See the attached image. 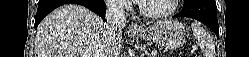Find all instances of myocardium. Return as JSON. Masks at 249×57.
Masks as SVG:
<instances>
[{"label": "myocardium", "instance_id": "f54148a6", "mask_svg": "<svg viewBox=\"0 0 249 57\" xmlns=\"http://www.w3.org/2000/svg\"><path fill=\"white\" fill-rule=\"evenodd\" d=\"M178 3H179V0H172L171 6L168 10L163 11V12H158V13L148 12L144 8L142 1H139L137 3V7H138L140 14L143 15L144 17L149 18V19L158 20V19H163V18H166V17L172 15L176 11V9L178 7Z\"/></svg>", "mask_w": 249, "mask_h": 57}]
</instances>
